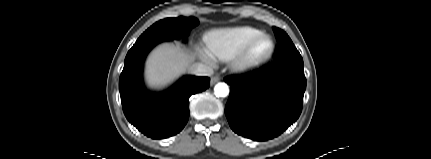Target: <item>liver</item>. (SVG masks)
I'll return each mask as SVG.
<instances>
[{"instance_id": "6515ba94", "label": "liver", "mask_w": 431, "mask_h": 159, "mask_svg": "<svg viewBox=\"0 0 431 159\" xmlns=\"http://www.w3.org/2000/svg\"><path fill=\"white\" fill-rule=\"evenodd\" d=\"M194 55L179 46L162 44L155 48L146 61V80L151 87H163L190 70Z\"/></svg>"}]
</instances>
